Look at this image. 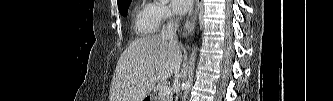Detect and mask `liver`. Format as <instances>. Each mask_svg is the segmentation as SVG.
<instances>
[{"label":"liver","mask_w":333,"mask_h":101,"mask_svg":"<svg viewBox=\"0 0 333 101\" xmlns=\"http://www.w3.org/2000/svg\"><path fill=\"white\" fill-rule=\"evenodd\" d=\"M176 57L177 49L160 35L134 40L117 62L109 101H143L173 74Z\"/></svg>","instance_id":"6515ba94"}]
</instances>
